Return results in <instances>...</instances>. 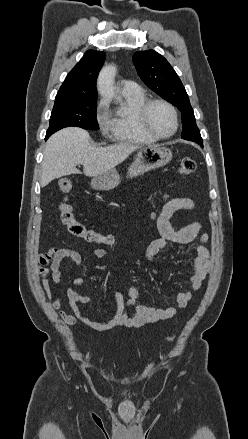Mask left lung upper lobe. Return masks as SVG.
Instances as JSON below:
<instances>
[{"label": "left lung upper lobe", "mask_w": 248, "mask_h": 439, "mask_svg": "<svg viewBox=\"0 0 248 439\" xmlns=\"http://www.w3.org/2000/svg\"><path fill=\"white\" fill-rule=\"evenodd\" d=\"M133 62L141 80L181 111L183 125L181 138L196 142L203 147L189 97L173 67L162 55L153 50L136 52Z\"/></svg>", "instance_id": "obj_1"}]
</instances>
